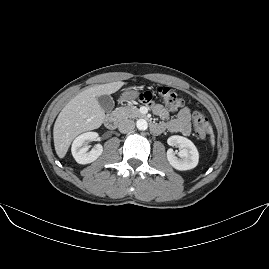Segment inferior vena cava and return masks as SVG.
I'll list each match as a JSON object with an SVG mask.
<instances>
[{
  "label": "inferior vena cava",
  "instance_id": "1",
  "mask_svg": "<svg viewBox=\"0 0 269 269\" xmlns=\"http://www.w3.org/2000/svg\"><path fill=\"white\" fill-rule=\"evenodd\" d=\"M134 122L129 119H124L118 124V129L121 133H127L133 130Z\"/></svg>",
  "mask_w": 269,
  "mask_h": 269
}]
</instances>
